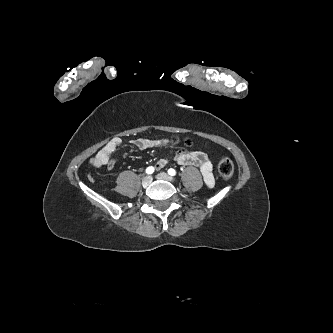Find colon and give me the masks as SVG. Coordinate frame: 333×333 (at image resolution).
Listing matches in <instances>:
<instances>
[{
	"label": "colon",
	"instance_id": "5ec220e1",
	"mask_svg": "<svg viewBox=\"0 0 333 333\" xmlns=\"http://www.w3.org/2000/svg\"><path fill=\"white\" fill-rule=\"evenodd\" d=\"M184 143L187 146L192 145V141L189 138H186ZM218 171L224 179H230L234 174L233 162L229 158H222L218 163Z\"/></svg>",
	"mask_w": 333,
	"mask_h": 333
}]
</instances>
